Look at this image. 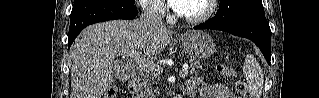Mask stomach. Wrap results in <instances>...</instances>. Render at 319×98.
<instances>
[{
  "mask_svg": "<svg viewBox=\"0 0 319 98\" xmlns=\"http://www.w3.org/2000/svg\"><path fill=\"white\" fill-rule=\"evenodd\" d=\"M185 52L193 58L205 59L215 52V44L212 38L203 31H189L183 39Z\"/></svg>",
  "mask_w": 319,
  "mask_h": 98,
  "instance_id": "obj_1",
  "label": "stomach"
}]
</instances>
